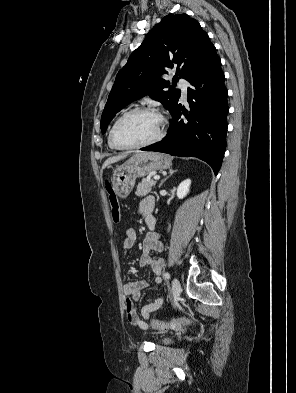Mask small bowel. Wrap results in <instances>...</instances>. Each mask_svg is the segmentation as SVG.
<instances>
[{
    "label": "small bowel",
    "mask_w": 296,
    "mask_h": 393,
    "mask_svg": "<svg viewBox=\"0 0 296 393\" xmlns=\"http://www.w3.org/2000/svg\"><path fill=\"white\" fill-rule=\"evenodd\" d=\"M155 207V200L153 197L144 198L138 208L137 213L144 218L146 224L151 231L144 237L142 242V256L139 261V266H148L151 272L156 276L155 283L160 285L162 283L161 272L163 267V259L160 257H152V252H161L163 250V243L159 236L153 231L155 225V218L153 211ZM136 232L134 229H127L124 233L122 240V247L124 250H130L136 243ZM148 286L147 281L141 280L136 282H128L123 285V292L126 296L124 302V309L129 323L133 326L147 329L151 314L160 309L164 303L162 296L158 297L155 301L144 305L141 309L140 317L137 313L135 302L141 297V291Z\"/></svg>",
    "instance_id": "obj_1"
}]
</instances>
